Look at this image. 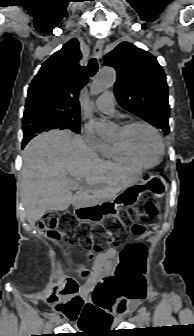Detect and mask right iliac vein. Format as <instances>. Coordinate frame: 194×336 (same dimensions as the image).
<instances>
[{
  "label": "right iliac vein",
  "instance_id": "obj_1",
  "mask_svg": "<svg viewBox=\"0 0 194 336\" xmlns=\"http://www.w3.org/2000/svg\"><path fill=\"white\" fill-rule=\"evenodd\" d=\"M60 318H59V316L58 315H56L55 316V318L53 319V323L56 325V326H58L59 324H60Z\"/></svg>",
  "mask_w": 194,
  "mask_h": 336
}]
</instances>
